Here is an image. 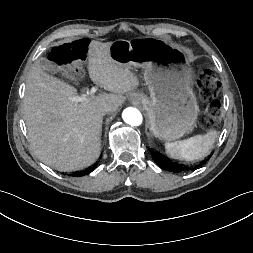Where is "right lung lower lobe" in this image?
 Here are the masks:
<instances>
[{
	"label": "right lung lower lobe",
	"instance_id": "right-lung-lower-lobe-1",
	"mask_svg": "<svg viewBox=\"0 0 253 253\" xmlns=\"http://www.w3.org/2000/svg\"><path fill=\"white\" fill-rule=\"evenodd\" d=\"M96 166L91 167L90 169H88L86 172H78V173H74L73 176H84L86 174H89L90 172H92L95 169Z\"/></svg>",
	"mask_w": 253,
	"mask_h": 253
}]
</instances>
